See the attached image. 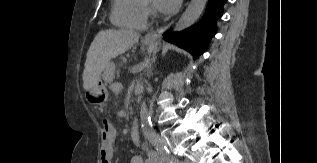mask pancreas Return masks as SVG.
Listing matches in <instances>:
<instances>
[{"instance_id":"pancreas-1","label":"pancreas","mask_w":317,"mask_h":163,"mask_svg":"<svg viewBox=\"0 0 317 163\" xmlns=\"http://www.w3.org/2000/svg\"><path fill=\"white\" fill-rule=\"evenodd\" d=\"M115 77V64L110 62L106 65L103 71V79L106 84H111Z\"/></svg>"}]
</instances>
